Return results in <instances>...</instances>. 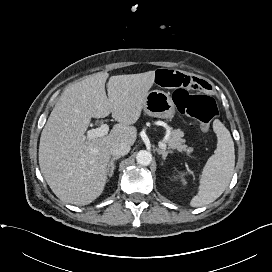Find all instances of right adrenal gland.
I'll list each match as a JSON object with an SVG mask.
<instances>
[{
    "label": "right adrenal gland",
    "instance_id": "2a0ac1e0",
    "mask_svg": "<svg viewBox=\"0 0 272 272\" xmlns=\"http://www.w3.org/2000/svg\"><path fill=\"white\" fill-rule=\"evenodd\" d=\"M119 158H120V157H118V156L112 157L111 160H110V162L108 163V166H107V173H108V175H109L110 177H112L113 174H114V169H115V164H114V162H115L116 160H118Z\"/></svg>",
    "mask_w": 272,
    "mask_h": 272
}]
</instances>
